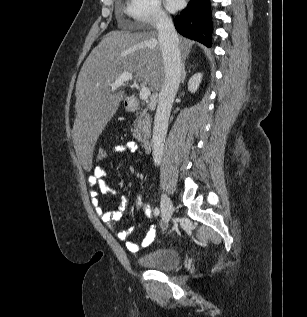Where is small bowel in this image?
<instances>
[{
	"label": "small bowel",
	"instance_id": "1",
	"mask_svg": "<svg viewBox=\"0 0 307 317\" xmlns=\"http://www.w3.org/2000/svg\"><path fill=\"white\" fill-rule=\"evenodd\" d=\"M113 152L116 154H126V153H136L139 151L138 144L135 141H127L121 144H116L112 148ZM106 176L107 172L105 168L102 166H94L91 175L88 178V182L93 190L91 191L92 196V204L95 207L96 214L99 218L109 224L113 231L115 232L118 239L125 241L128 237V231H119L112 226V222L120 220L123 215L124 211L127 207V199L122 197L120 205L118 209L113 211H105L101 205L98 198L99 192L103 195H116L118 192L108 186L106 183ZM98 188L99 192L95 189ZM156 237V227L152 225L146 237L142 240L140 244H136L131 241L126 242V247L131 252L139 251L140 247L148 246Z\"/></svg>",
	"mask_w": 307,
	"mask_h": 317
}]
</instances>
